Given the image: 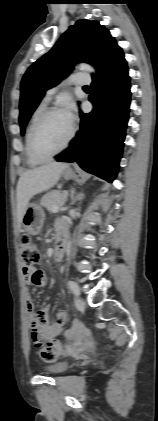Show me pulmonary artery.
I'll list each match as a JSON object with an SVG mask.
<instances>
[{"label": "pulmonary artery", "instance_id": "pulmonary-artery-1", "mask_svg": "<svg viewBox=\"0 0 158 421\" xmlns=\"http://www.w3.org/2000/svg\"><path fill=\"white\" fill-rule=\"evenodd\" d=\"M90 83V77L83 73H74L67 77L59 86L49 89L44 98L43 102H49L59 87L67 84L86 85Z\"/></svg>", "mask_w": 158, "mask_h": 421}]
</instances>
